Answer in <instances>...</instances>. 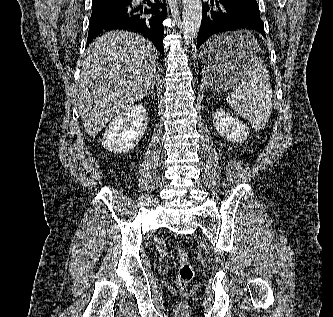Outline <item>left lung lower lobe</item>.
Masks as SVG:
<instances>
[{
  "instance_id": "left-lung-lower-lobe-1",
  "label": "left lung lower lobe",
  "mask_w": 333,
  "mask_h": 317,
  "mask_svg": "<svg viewBox=\"0 0 333 317\" xmlns=\"http://www.w3.org/2000/svg\"><path fill=\"white\" fill-rule=\"evenodd\" d=\"M212 8L208 3H202V21L198 33V48L212 35L242 29H252L265 37L263 21L260 18L259 6L256 0H211ZM241 51L238 46L229 44L211 46L205 54L207 62L219 61L227 56L235 55ZM201 72L204 64L199 63ZM202 75L199 73L200 83Z\"/></svg>"
}]
</instances>
